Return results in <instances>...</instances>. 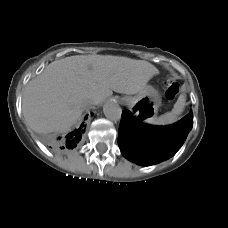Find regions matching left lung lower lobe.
<instances>
[{"instance_id": "0a47b994", "label": "left lung lower lobe", "mask_w": 228, "mask_h": 228, "mask_svg": "<svg viewBox=\"0 0 228 228\" xmlns=\"http://www.w3.org/2000/svg\"><path fill=\"white\" fill-rule=\"evenodd\" d=\"M193 126L192 111L177 123L155 127L122 112L118 144L122 154L140 165L149 166L173 156L185 142Z\"/></svg>"}]
</instances>
